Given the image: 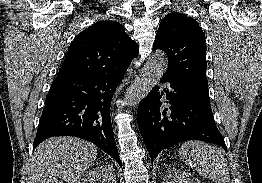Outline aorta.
<instances>
[{
  "label": "aorta",
  "instance_id": "762f6f07",
  "mask_svg": "<svg viewBox=\"0 0 262 183\" xmlns=\"http://www.w3.org/2000/svg\"><path fill=\"white\" fill-rule=\"evenodd\" d=\"M168 67L167 56L157 51L150 56L140 74L131 83L125 94V102L132 106L139 103L159 82Z\"/></svg>",
  "mask_w": 262,
  "mask_h": 183
}]
</instances>
